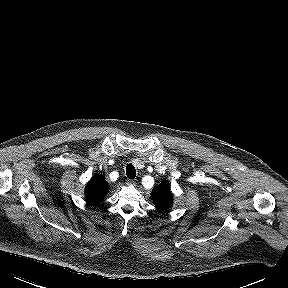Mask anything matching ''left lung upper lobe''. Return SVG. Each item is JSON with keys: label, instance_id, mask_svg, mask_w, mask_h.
I'll list each match as a JSON object with an SVG mask.
<instances>
[{"label": "left lung upper lobe", "instance_id": "1", "mask_svg": "<svg viewBox=\"0 0 288 288\" xmlns=\"http://www.w3.org/2000/svg\"><path fill=\"white\" fill-rule=\"evenodd\" d=\"M152 199L160 210L169 209L172 205V195L169 189V182L164 181L152 190Z\"/></svg>", "mask_w": 288, "mask_h": 288}]
</instances>
